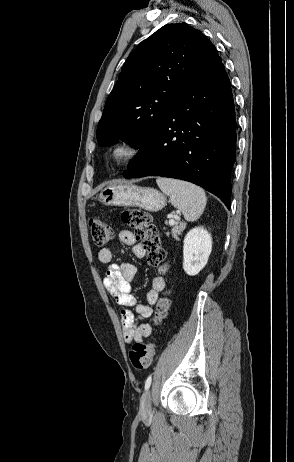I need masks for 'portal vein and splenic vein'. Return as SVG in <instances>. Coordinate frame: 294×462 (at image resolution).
Listing matches in <instances>:
<instances>
[{"instance_id":"portal-vein-and-splenic-vein-1","label":"portal vein and splenic vein","mask_w":294,"mask_h":462,"mask_svg":"<svg viewBox=\"0 0 294 462\" xmlns=\"http://www.w3.org/2000/svg\"><path fill=\"white\" fill-rule=\"evenodd\" d=\"M169 224H170V225H174V224H175V221H174L173 219H170V220H169Z\"/></svg>"}]
</instances>
